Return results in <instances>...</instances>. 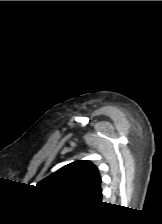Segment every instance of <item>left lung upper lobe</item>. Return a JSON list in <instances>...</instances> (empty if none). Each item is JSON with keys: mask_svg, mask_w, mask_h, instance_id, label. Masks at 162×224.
<instances>
[{"mask_svg": "<svg viewBox=\"0 0 162 224\" xmlns=\"http://www.w3.org/2000/svg\"><path fill=\"white\" fill-rule=\"evenodd\" d=\"M101 177L97 167L90 161H74L48 176L37 186L63 196L81 199L90 197L99 191Z\"/></svg>", "mask_w": 162, "mask_h": 224, "instance_id": "left-lung-upper-lobe-1", "label": "left lung upper lobe"}]
</instances>
